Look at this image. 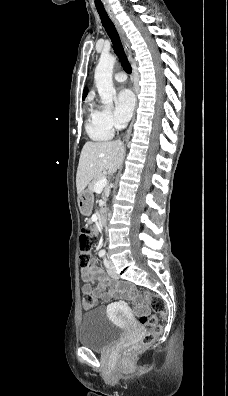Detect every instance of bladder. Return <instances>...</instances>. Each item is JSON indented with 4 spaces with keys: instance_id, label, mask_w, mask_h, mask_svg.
Returning <instances> with one entry per match:
<instances>
[{
    "instance_id": "obj_1",
    "label": "bladder",
    "mask_w": 228,
    "mask_h": 396,
    "mask_svg": "<svg viewBox=\"0 0 228 396\" xmlns=\"http://www.w3.org/2000/svg\"><path fill=\"white\" fill-rule=\"evenodd\" d=\"M123 330L111 322L104 309L87 311L82 317L79 330V342L82 346L95 351H105L118 341Z\"/></svg>"
}]
</instances>
